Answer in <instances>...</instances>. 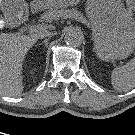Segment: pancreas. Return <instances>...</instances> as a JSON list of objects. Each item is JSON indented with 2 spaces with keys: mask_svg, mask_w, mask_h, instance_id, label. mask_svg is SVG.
Returning a JSON list of instances; mask_svg holds the SVG:
<instances>
[{
  "mask_svg": "<svg viewBox=\"0 0 135 135\" xmlns=\"http://www.w3.org/2000/svg\"><path fill=\"white\" fill-rule=\"evenodd\" d=\"M70 16H81V14L75 10H67L65 8L51 9L43 13L42 19L46 22H51L53 20H59Z\"/></svg>",
  "mask_w": 135,
  "mask_h": 135,
  "instance_id": "pancreas-1",
  "label": "pancreas"
}]
</instances>
